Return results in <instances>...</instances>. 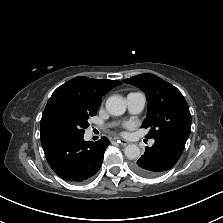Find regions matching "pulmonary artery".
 <instances>
[{
    "mask_svg": "<svg viewBox=\"0 0 223 223\" xmlns=\"http://www.w3.org/2000/svg\"><path fill=\"white\" fill-rule=\"evenodd\" d=\"M128 111L130 114H139L145 107L146 99L145 96L138 92L129 93L126 97ZM151 144L154 143L152 140Z\"/></svg>",
    "mask_w": 223,
    "mask_h": 223,
    "instance_id": "1",
    "label": "pulmonary artery"
}]
</instances>
